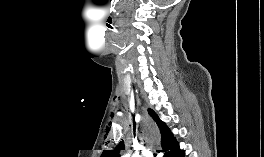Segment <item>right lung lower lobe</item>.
I'll return each mask as SVG.
<instances>
[{"label": "right lung lower lobe", "instance_id": "98d812e1", "mask_svg": "<svg viewBox=\"0 0 264 157\" xmlns=\"http://www.w3.org/2000/svg\"><path fill=\"white\" fill-rule=\"evenodd\" d=\"M163 153V157H185V151L179 148V144L176 140L166 148Z\"/></svg>", "mask_w": 264, "mask_h": 157}]
</instances>
